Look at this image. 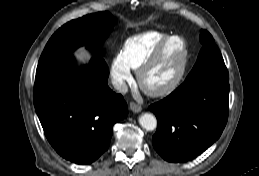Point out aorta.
Returning a JSON list of instances; mask_svg holds the SVG:
<instances>
[{"label": "aorta", "mask_w": 259, "mask_h": 176, "mask_svg": "<svg viewBox=\"0 0 259 176\" xmlns=\"http://www.w3.org/2000/svg\"><path fill=\"white\" fill-rule=\"evenodd\" d=\"M139 123L147 131H153L157 127V120L154 115L144 113L139 117Z\"/></svg>", "instance_id": "762f6f07"}]
</instances>
